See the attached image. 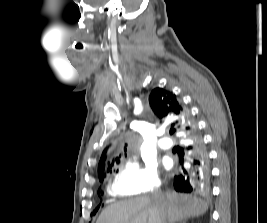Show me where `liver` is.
Segmentation results:
<instances>
[{"label": "liver", "mask_w": 267, "mask_h": 223, "mask_svg": "<svg viewBox=\"0 0 267 223\" xmlns=\"http://www.w3.org/2000/svg\"><path fill=\"white\" fill-rule=\"evenodd\" d=\"M208 204L177 192L163 194L159 204L147 196L116 202L102 211L96 223H161L162 212L170 223L203 215Z\"/></svg>", "instance_id": "obj_1"}]
</instances>
